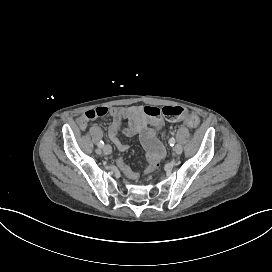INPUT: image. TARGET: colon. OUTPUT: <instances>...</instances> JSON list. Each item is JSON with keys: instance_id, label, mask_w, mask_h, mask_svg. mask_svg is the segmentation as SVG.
<instances>
[{"instance_id": "colon-1", "label": "colon", "mask_w": 272, "mask_h": 272, "mask_svg": "<svg viewBox=\"0 0 272 272\" xmlns=\"http://www.w3.org/2000/svg\"><path fill=\"white\" fill-rule=\"evenodd\" d=\"M185 112V109L179 105H169V106H155L150 107L145 111V114L152 118L166 117L168 120H175L180 118ZM108 109L104 106H99L87 110L81 119L79 120V125L83 127L87 121L96 119L97 117H103L107 115ZM194 120H190L189 124H194Z\"/></svg>"}]
</instances>
